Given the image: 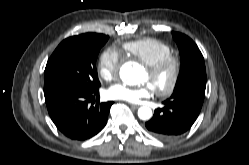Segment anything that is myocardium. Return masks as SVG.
Masks as SVG:
<instances>
[{"label": "myocardium", "instance_id": "obj_1", "mask_svg": "<svg viewBox=\"0 0 249 165\" xmlns=\"http://www.w3.org/2000/svg\"><path fill=\"white\" fill-rule=\"evenodd\" d=\"M146 70L155 91L159 95H167L176 85L180 72V60L176 55L169 54L146 65Z\"/></svg>", "mask_w": 249, "mask_h": 165}]
</instances>
